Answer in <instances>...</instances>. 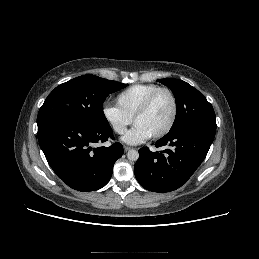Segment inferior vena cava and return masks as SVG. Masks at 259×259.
Here are the masks:
<instances>
[{
	"instance_id": "1",
	"label": "inferior vena cava",
	"mask_w": 259,
	"mask_h": 259,
	"mask_svg": "<svg viewBox=\"0 0 259 259\" xmlns=\"http://www.w3.org/2000/svg\"><path fill=\"white\" fill-rule=\"evenodd\" d=\"M119 133H123V129H121V130L119 131Z\"/></svg>"
}]
</instances>
